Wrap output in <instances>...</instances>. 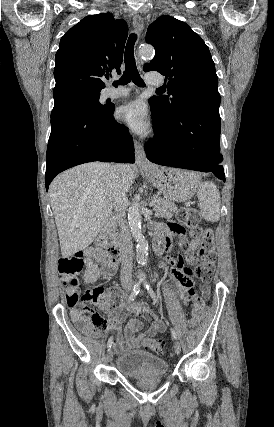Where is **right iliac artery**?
I'll return each mask as SVG.
<instances>
[{
    "label": "right iliac artery",
    "instance_id": "1",
    "mask_svg": "<svg viewBox=\"0 0 274 427\" xmlns=\"http://www.w3.org/2000/svg\"><path fill=\"white\" fill-rule=\"evenodd\" d=\"M139 291H140V282L134 285V288L131 291V294L128 298V302H132L135 299V297L138 295ZM112 344H113V336H111L108 340V343H107L108 350L112 347Z\"/></svg>",
    "mask_w": 274,
    "mask_h": 427
}]
</instances>
